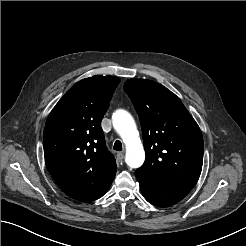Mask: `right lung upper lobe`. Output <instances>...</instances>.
Returning <instances> with one entry per match:
<instances>
[{"mask_svg":"<svg viewBox=\"0 0 246 246\" xmlns=\"http://www.w3.org/2000/svg\"><path fill=\"white\" fill-rule=\"evenodd\" d=\"M120 79L96 75L71 87L51 111L43 136L46 166L65 192L107 190L116 174L101 120Z\"/></svg>","mask_w":246,"mask_h":246,"instance_id":"cb5924a9","label":"right lung upper lobe"}]
</instances>
